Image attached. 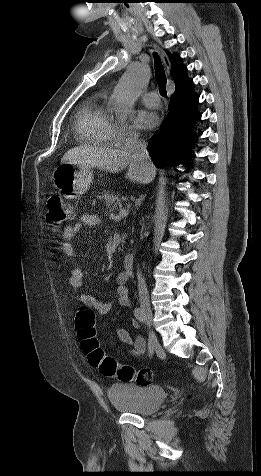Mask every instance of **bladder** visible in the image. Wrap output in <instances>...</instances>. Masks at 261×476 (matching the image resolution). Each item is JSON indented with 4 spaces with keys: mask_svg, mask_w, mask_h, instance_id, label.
<instances>
[{
    "mask_svg": "<svg viewBox=\"0 0 261 476\" xmlns=\"http://www.w3.org/2000/svg\"><path fill=\"white\" fill-rule=\"evenodd\" d=\"M108 397L118 411L144 416L151 415L162 407L166 392L159 385L122 382L109 388Z\"/></svg>",
    "mask_w": 261,
    "mask_h": 476,
    "instance_id": "bladder-1",
    "label": "bladder"
}]
</instances>
